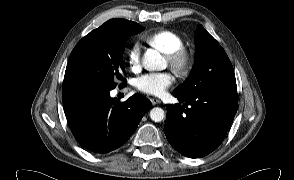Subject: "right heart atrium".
<instances>
[{
    "label": "right heart atrium",
    "mask_w": 294,
    "mask_h": 180,
    "mask_svg": "<svg viewBox=\"0 0 294 180\" xmlns=\"http://www.w3.org/2000/svg\"><path fill=\"white\" fill-rule=\"evenodd\" d=\"M126 60L132 71H138L141 67V47L133 43L126 51Z\"/></svg>",
    "instance_id": "1"
}]
</instances>
